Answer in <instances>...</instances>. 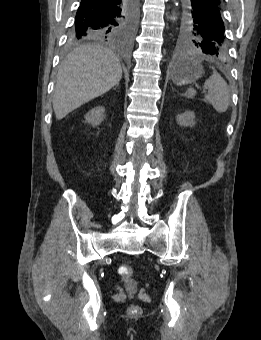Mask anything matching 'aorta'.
Masks as SVG:
<instances>
[{
	"label": "aorta",
	"mask_w": 261,
	"mask_h": 340,
	"mask_svg": "<svg viewBox=\"0 0 261 340\" xmlns=\"http://www.w3.org/2000/svg\"><path fill=\"white\" fill-rule=\"evenodd\" d=\"M174 2H175V0H174ZM170 20L172 22H175L177 20V12L175 10H173L172 15L170 16Z\"/></svg>",
	"instance_id": "obj_1"
}]
</instances>
